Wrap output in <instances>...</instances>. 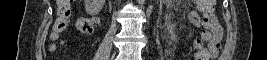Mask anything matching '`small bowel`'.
Returning a JSON list of instances; mask_svg holds the SVG:
<instances>
[{
  "instance_id": "c3829d8e",
  "label": "small bowel",
  "mask_w": 267,
  "mask_h": 60,
  "mask_svg": "<svg viewBox=\"0 0 267 60\" xmlns=\"http://www.w3.org/2000/svg\"><path fill=\"white\" fill-rule=\"evenodd\" d=\"M189 20L196 25L197 27L205 28V30L201 33L200 39L194 42L195 47L197 48L200 41H207L208 47L205 48L204 54L205 59H214L218 56L222 40H223V30L218 22L217 18L214 15H211L207 22L205 23L199 14L195 10H191L188 14ZM89 23L92 25V29L88 30L84 28V24ZM99 23V17L92 18H81L78 20L79 29L86 35H90L94 31V27Z\"/></svg>"
}]
</instances>
